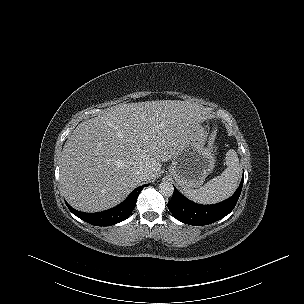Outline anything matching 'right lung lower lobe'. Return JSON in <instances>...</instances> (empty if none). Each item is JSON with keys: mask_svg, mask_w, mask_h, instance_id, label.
<instances>
[{"mask_svg": "<svg viewBox=\"0 0 304 304\" xmlns=\"http://www.w3.org/2000/svg\"><path fill=\"white\" fill-rule=\"evenodd\" d=\"M144 186H148V184L136 188L121 204L103 212L84 213L75 210L68 203H66V205L74 215L89 224L96 226H110L124 221L129 217L135 208L138 195L143 190Z\"/></svg>", "mask_w": 304, "mask_h": 304, "instance_id": "1", "label": "right lung lower lobe"}]
</instances>
